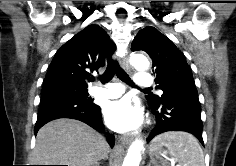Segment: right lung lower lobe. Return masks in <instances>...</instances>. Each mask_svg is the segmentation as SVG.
<instances>
[{
	"label": "right lung lower lobe",
	"mask_w": 236,
	"mask_h": 166,
	"mask_svg": "<svg viewBox=\"0 0 236 166\" xmlns=\"http://www.w3.org/2000/svg\"><path fill=\"white\" fill-rule=\"evenodd\" d=\"M69 86V84L64 83L43 85L42 92L47 95H58L64 93ZM59 118L80 120L98 131L104 129L98 105L93 102L83 104L71 99L53 98L51 100H41L34 133L37 134L44 124ZM107 140L110 146L113 147L115 143L114 136L109 134Z\"/></svg>",
	"instance_id": "1"
}]
</instances>
